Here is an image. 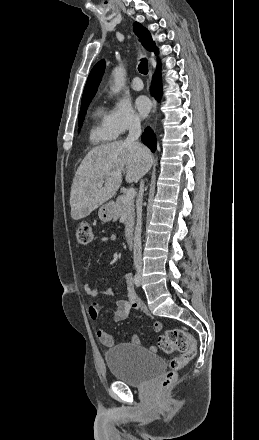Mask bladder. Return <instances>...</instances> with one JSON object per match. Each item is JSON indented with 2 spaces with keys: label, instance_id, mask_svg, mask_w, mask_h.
<instances>
[{
  "label": "bladder",
  "instance_id": "obj_1",
  "mask_svg": "<svg viewBox=\"0 0 259 440\" xmlns=\"http://www.w3.org/2000/svg\"><path fill=\"white\" fill-rule=\"evenodd\" d=\"M105 361L116 380L131 386H143L165 369L159 355L136 345H120L107 351Z\"/></svg>",
  "mask_w": 259,
  "mask_h": 440
}]
</instances>
